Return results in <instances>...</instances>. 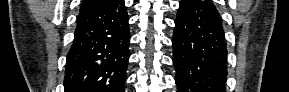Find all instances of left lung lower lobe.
Listing matches in <instances>:
<instances>
[{
    "label": "left lung lower lobe",
    "instance_id": "obj_1",
    "mask_svg": "<svg viewBox=\"0 0 289 92\" xmlns=\"http://www.w3.org/2000/svg\"><path fill=\"white\" fill-rule=\"evenodd\" d=\"M178 92H225L227 48L211 0H181L172 39Z\"/></svg>",
    "mask_w": 289,
    "mask_h": 92
}]
</instances>
